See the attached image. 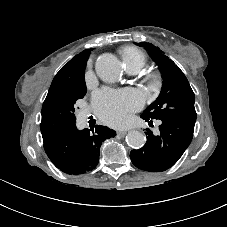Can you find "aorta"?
<instances>
[{
  "label": "aorta",
  "instance_id": "1",
  "mask_svg": "<svg viewBox=\"0 0 227 227\" xmlns=\"http://www.w3.org/2000/svg\"><path fill=\"white\" fill-rule=\"evenodd\" d=\"M95 71L98 77L104 82H115L121 73L120 61L111 53L100 55L95 62ZM129 146L139 149L146 143V136L137 130L130 131L126 136Z\"/></svg>",
  "mask_w": 227,
  "mask_h": 227
}]
</instances>
